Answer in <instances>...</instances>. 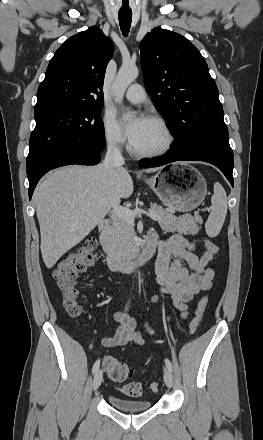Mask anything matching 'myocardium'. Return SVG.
<instances>
[{"label": "myocardium", "instance_id": "1", "mask_svg": "<svg viewBox=\"0 0 263 440\" xmlns=\"http://www.w3.org/2000/svg\"><path fill=\"white\" fill-rule=\"evenodd\" d=\"M147 120H150L154 123H156L164 132L165 136H166V141L164 143V145L158 149L155 150H151V151H141L136 149L133 144L131 147V151L132 153L140 158H154V157H159V156H163L165 154H167L168 152H170L172 150V148L174 147V144L176 142V137L175 134L172 130V128L170 127V125L168 124V122L158 116V115H150L148 116Z\"/></svg>", "mask_w": 263, "mask_h": 440}]
</instances>
